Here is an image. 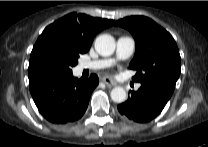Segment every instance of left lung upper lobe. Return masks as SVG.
Returning a JSON list of instances; mask_svg holds the SVG:
<instances>
[{
	"label": "left lung upper lobe",
	"mask_w": 208,
	"mask_h": 147,
	"mask_svg": "<svg viewBox=\"0 0 208 147\" xmlns=\"http://www.w3.org/2000/svg\"><path fill=\"white\" fill-rule=\"evenodd\" d=\"M115 25L131 32L136 52L129 68L136 70V82L159 81L175 88L180 75L181 58L175 40L169 32L144 16H130Z\"/></svg>",
	"instance_id": "left-lung-upper-lobe-1"
}]
</instances>
